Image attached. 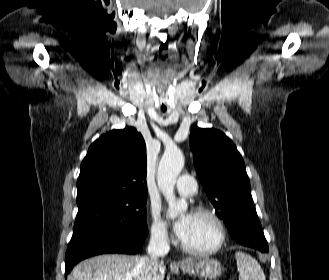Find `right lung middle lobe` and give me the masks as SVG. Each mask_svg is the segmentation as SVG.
<instances>
[{"mask_svg":"<svg viewBox=\"0 0 329 280\" xmlns=\"http://www.w3.org/2000/svg\"><path fill=\"white\" fill-rule=\"evenodd\" d=\"M147 197L92 196L77 199L78 213L71 241L107 233L128 240L145 238Z\"/></svg>","mask_w":329,"mask_h":280,"instance_id":"right-lung-middle-lobe-1","label":"right lung middle lobe"}]
</instances>
